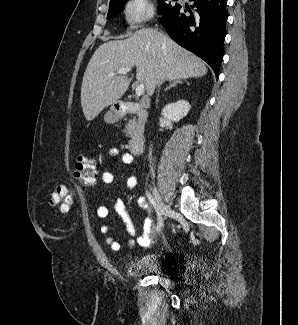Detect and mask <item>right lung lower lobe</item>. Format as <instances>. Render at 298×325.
I'll list each match as a JSON object with an SVG mask.
<instances>
[{
  "label": "right lung lower lobe",
  "mask_w": 298,
  "mask_h": 325,
  "mask_svg": "<svg viewBox=\"0 0 298 325\" xmlns=\"http://www.w3.org/2000/svg\"><path fill=\"white\" fill-rule=\"evenodd\" d=\"M195 1L187 10L176 4L163 12L159 22L169 36L182 47L193 52L214 70L216 77L223 56V42L226 36L227 0H190Z\"/></svg>",
  "instance_id": "98d812e1"
}]
</instances>
